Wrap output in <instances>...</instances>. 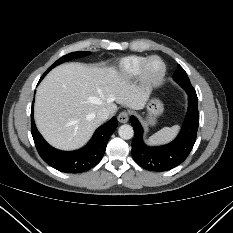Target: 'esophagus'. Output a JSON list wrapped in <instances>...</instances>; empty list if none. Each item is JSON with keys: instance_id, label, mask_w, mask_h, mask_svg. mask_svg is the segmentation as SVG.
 <instances>
[{"instance_id": "34e87169", "label": "esophagus", "mask_w": 233, "mask_h": 233, "mask_svg": "<svg viewBox=\"0 0 233 233\" xmlns=\"http://www.w3.org/2000/svg\"><path fill=\"white\" fill-rule=\"evenodd\" d=\"M129 120V114L127 111H122L119 115H118V121L120 123H126Z\"/></svg>"}]
</instances>
